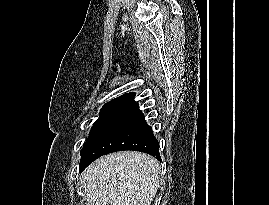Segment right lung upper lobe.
<instances>
[{"mask_svg": "<svg viewBox=\"0 0 269 205\" xmlns=\"http://www.w3.org/2000/svg\"><path fill=\"white\" fill-rule=\"evenodd\" d=\"M134 96H135V93H127L115 99H112L110 102L106 103L104 106L122 107V108L128 109L130 107L137 105V103L134 102L133 100Z\"/></svg>", "mask_w": 269, "mask_h": 205, "instance_id": "1", "label": "right lung upper lobe"}]
</instances>
